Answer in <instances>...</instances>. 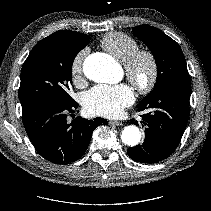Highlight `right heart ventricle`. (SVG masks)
<instances>
[{
    "mask_svg": "<svg viewBox=\"0 0 211 211\" xmlns=\"http://www.w3.org/2000/svg\"><path fill=\"white\" fill-rule=\"evenodd\" d=\"M101 46L118 61L124 63L139 49L138 42L122 32H111L101 40Z\"/></svg>",
    "mask_w": 211,
    "mask_h": 211,
    "instance_id": "right-heart-ventricle-1",
    "label": "right heart ventricle"
}]
</instances>
